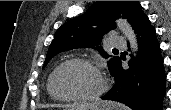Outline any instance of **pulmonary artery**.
<instances>
[{"instance_id": "1", "label": "pulmonary artery", "mask_w": 171, "mask_h": 110, "mask_svg": "<svg viewBox=\"0 0 171 110\" xmlns=\"http://www.w3.org/2000/svg\"><path fill=\"white\" fill-rule=\"evenodd\" d=\"M110 45L113 47L125 48L127 46V42L124 38L118 36L116 33H111Z\"/></svg>"}]
</instances>
